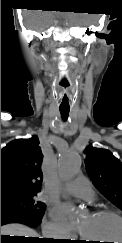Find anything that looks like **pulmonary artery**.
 <instances>
[{"label":"pulmonary artery","mask_w":122,"mask_h":243,"mask_svg":"<svg viewBox=\"0 0 122 243\" xmlns=\"http://www.w3.org/2000/svg\"><path fill=\"white\" fill-rule=\"evenodd\" d=\"M64 191L87 201H93L95 197L91 184L84 177H78L64 187Z\"/></svg>","instance_id":"e3ab8cb5"}]
</instances>
